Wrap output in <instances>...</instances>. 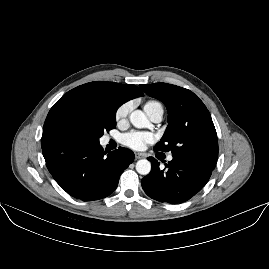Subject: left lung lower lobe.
Segmentation results:
<instances>
[{"mask_svg":"<svg viewBox=\"0 0 269 269\" xmlns=\"http://www.w3.org/2000/svg\"><path fill=\"white\" fill-rule=\"evenodd\" d=\"M151 172L141 180L145 193L159 202L183 203L198 193L209 180L214 168L198 165L173 156L164 169L153 157Z\"/></svg>","mask_w":269,"mask_h":269,"instance_id":"obj_1","label":"left lung lower lobe"}]
</instances>
